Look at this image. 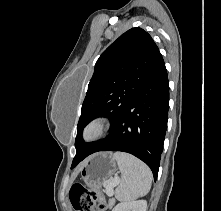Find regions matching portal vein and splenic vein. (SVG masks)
I'll use <instances>...</instances> for the list:
<instances>
[{"instance_id": "1", "label": "portal vein and splenic vein", "mask_w": 221, "mask_h": 211, "mask_svg": "<svg viewBox=\"0 0 221 211\" xmlns=\"http://www.w3.org/2000/svg\"><path fill=\"white\" fill-rule=\"evenodd\" d=\"M119 184V177H114V179L106 184V192L109 196H112L113 188Z\"/></svg>"}]
</instances>
